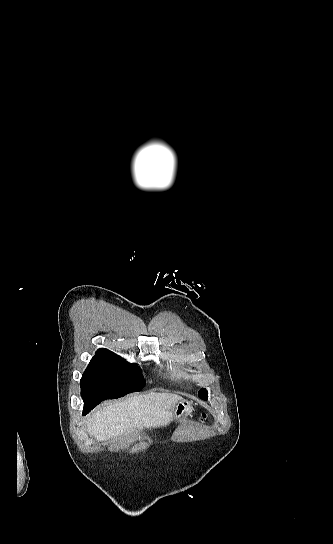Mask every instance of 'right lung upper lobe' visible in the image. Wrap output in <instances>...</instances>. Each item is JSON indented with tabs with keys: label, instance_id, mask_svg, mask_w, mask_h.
Instances as JSON below:
<instances>
[{
	"label": "right lung upper lobe",
	"instance_id": "cb5924a9",
	"mask_svg": "<svg viewBox=\"0 0 333 544\" xmlns=\"http://www.w3.org/2000/svg\"><path fill=\"white\" fill-rule=\"evenodd\" d=\"M108 351H109V350H107V349L101 348V349L97 350L96 355L105 354V353L108 352Z\"/></svg>",
	"mask_w": 333,
	"mask_h": 544
}]
</instances>
